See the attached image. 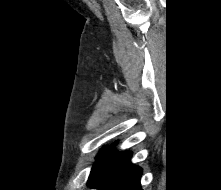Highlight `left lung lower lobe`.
Here are the masks:
<instances>
[{
  "label": "left lung lower lobe",
  "instance_id": "obj_1",
  "mask_svg": "<svg viewBox=\"0 0 221 190\" xmlns=\"http://www.w3.org/2000/svg\"><path fill=\"white\" fill-rule=\"evenodd\" d=\"M116 142L108 147L89 176L88 184L100 190H142V169L130 162L131 152H113Z\"/></svg>",
  "mask_w": 221,
  "mask_h": 190
}]
</instances>
